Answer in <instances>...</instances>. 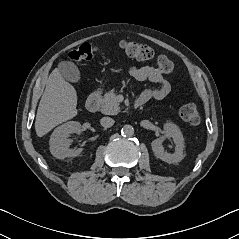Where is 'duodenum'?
I'll use <instances>...</instances> for the list:
<instances>
[{"instance_id": "410a0bca", "label": "duodenum", "mask_w": 239, "mask_h": 239, "mask_svg": "<svg viewBox=\"0 0 239 239\" xmlns=\"http://www.w3.org/2000/svg\"><path fill=\"white\" fill-rule=\"evenodd\" d=\"M99 102H100V92L95 91L89 96V98L86 101L87 110L91 113L96 112L99 108ZM143 105H144V103L142 101L137 100L134 104V108L139 109Z\"/></svg>"}]
</instances>
